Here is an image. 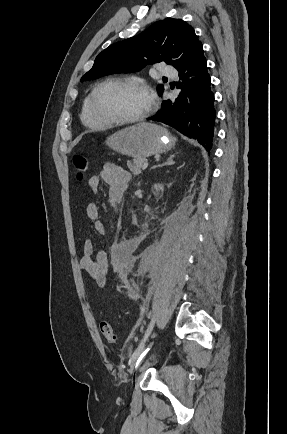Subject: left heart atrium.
<instances>
[{
	"label": "left heart atrium",
	"mask_w": 287,
	"mask_h": 434,
	"mask_svg": "<svg viewBox=\"0 0 287 434\" xmlns=\"http://www.w3.org/2000/svg\"><path fill=\"white\" fill-rule=\"evenodd\" d=\"M149 100H151L152 96L148 94Z\"/></svg>",
	"instance_id": "1"
}]
</instances>
